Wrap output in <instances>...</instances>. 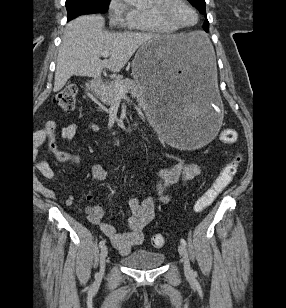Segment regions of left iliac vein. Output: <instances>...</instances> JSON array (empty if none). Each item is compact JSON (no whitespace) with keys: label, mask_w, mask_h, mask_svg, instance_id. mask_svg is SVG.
<instances>
[{"label":"left iliac vein","mask_w":286,"mask_h":308,"mask_svg":"<svg viewBox=\"0 0 286 308\" xmlns=\"http://www.w3.org/2000/svg\"><path fill=\"white\" fill-rule=\"evenodd\" d=\"M178 250L183 259L185 274L188 276L192 275V269L186 247L183 244H180Z\"/></svg>","instance_id":"left-iliac-vein-1"}]
</instances>
